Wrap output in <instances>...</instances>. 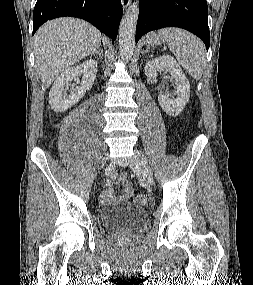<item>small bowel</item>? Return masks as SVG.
Instances as JSON below:
<instances>
[{
  "mask_svg": "<svg viewBox=\"0 0 253 285\" xmlns=\"http://www.w3.org/2000/svg\"><path fill=\"white\" fill-rule=\"evenodd\" d=\"M117 184L122 187V194L116 197L112 188L106 189L101 197L103 204L125 203L132 197L133 186L127 181L125 176H120L117 180Z\"/></svg>",
  "mask_w": 253,
  "mask_h": 285,
  "instance_id": "obj_1",
  "label": "small bowel"
}]
</instances>
